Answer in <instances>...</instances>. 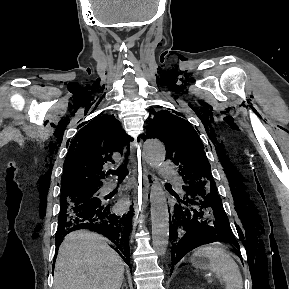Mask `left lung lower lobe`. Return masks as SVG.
Returning <instances> with one entry per match:
<instances>
[{"label": "left lung lower lobe", "mask_w": 289, "mask_h": 289, "mask_svg": "<svg viewBox=\"0 0 289 289\" xmlns=\"http://www.w3.org/2000/svg\"><path fill=\"white\" fill-rule=\"evenodd\" d=\"M182 188L181 195L172 193L177 201L171 213L169 211L172 265L198 247V239L215 237L238 248L216 187H205L201 183Z\"/></svg>", "instance_id": "1"}]
</instances>
